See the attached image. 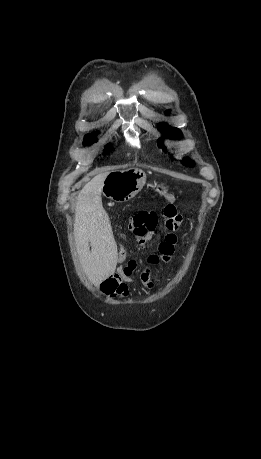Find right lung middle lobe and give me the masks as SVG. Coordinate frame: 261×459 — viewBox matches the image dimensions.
Returning <instances> with one entry per match:
<instances>
[{
    "label": "right lung middle lobe",
    "instance_id": "dd1d6c3e",
    "mask_svg": "<svg viewBox=\"0 0 261 459\" xmlns=\"http://www.w3.org/2000/svg\"><path fill=\"white\" fill-rule=\"evenodd\" d=\"M93 142H96V137L95 136H93V135H86L85 136V141H84L85 145L91 144ZM109 149H110V145L107 146L106 152L109 151Z\"/></svg>",
    "mask_w": 261,
    "mask_h": 459
}]
</instances>
